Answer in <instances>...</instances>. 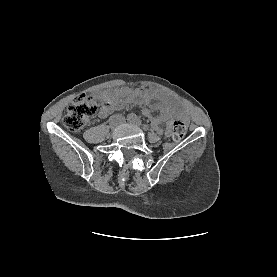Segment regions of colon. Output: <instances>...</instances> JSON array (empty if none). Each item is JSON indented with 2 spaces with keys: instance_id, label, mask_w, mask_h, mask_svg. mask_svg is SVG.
Masks as SVG:
<instances>
[{
  "instance_id": "obj_1",
  "label": "colon",
  "mask_w": 277,
  "mask_h": 277,
  "mask_svg": "<svg viewBox=\"0 0 277 277\" xmlns=\"http://www.w3.org/2000/svg\"><path fill=\"white\" fill-rule=\"evenodd\" d=\"M97 110L95 100L86 95L76 97L68 106L63 118L64 126L70 131H78L86 126ZM187 132L183 119H177L172 125V135L175 140L182 139Z\"/></svg>"
}]
</instances>
